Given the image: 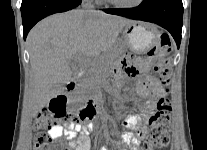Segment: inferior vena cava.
<instances>
[{"label":"inferior vena cava","mask_w":207,"mask_h":150,"mask_svg":"<svg viewBox=\"0 0 207 150\" xmlns=\"http://www.w3.org/2000/svg\"><path fill=\"white\" fill-rule=\"evenodd\" d=\"M93 0H83L82 1V7L86 11H93L92 9L94 8V5L92 4Z\"/></svg>","instance_id":"inferior-vena-cava-1"}]
</instances>
